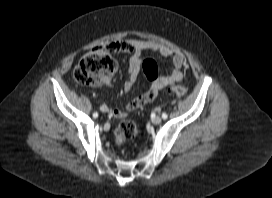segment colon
<instances>
[{"instance_id": "colon-1", "label": "colon", "mask_w": 272, "mask_h": 198, "mask_svg": "<svg viewBox=\"0 0 272 198\" xmlns=\"http://www.w3.org/2000/svg\"><path fill=\"white\" fill-rule=\"evenodd\" d=\"M113 52L107 47L85 54L76 65L73 77L80 85H99L106 82L117 69V62L112 57ZM144 74H157V66L153 60L143 62ZM171 91L177 96L187 93V88L181 85H173ZM135 123L131 120H123L115 131V144L123 146L129 139L140 136Z\"/></svg>"}]
</instances>
